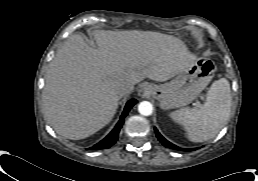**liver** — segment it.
<instances>
[{"instance_id":"liver-1","label":"liver","mask_w":258,"mask_h":181,"mask_svg":"<svg viewBox=\"0 0 258 181\" xmlns=\"http://www.w3.org/2000/svg\"><path fill=\"white\" fill-rule=\"evenodd\" d=\"M98 48L72 35L49 64L43 111L54 131L73 140L93 135L113 118L122 85L166 81L196 60L178 38L151 31L93 32Z\"/></svg>"}]
</instances>
